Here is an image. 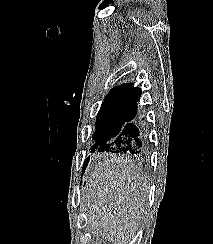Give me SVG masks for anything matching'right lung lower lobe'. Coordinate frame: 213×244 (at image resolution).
Listing matches in <instances>:
<instances>
[{
  "instance_id": "1",
  "label": "right lung lower lobe",
  "mask_w": 213,
  "mask_h": 244,
  "mask_svg": "<svg viewBox=\"0 0 213 244\" xmlns=\"http://www.w3.org/2000/svg\"><path fill=\"white\" fill-rule=\"evenodd\" d=\"M140 96L137 98V107L134 117L125 123L117 137L97 147L96 149L98 151H110L117 154L129 155H140L143 152L145 141L143 133L138 127L136 116L138 112ZM96 149L91 150V152H94Z\"/></svg>"
}]
</instances>
